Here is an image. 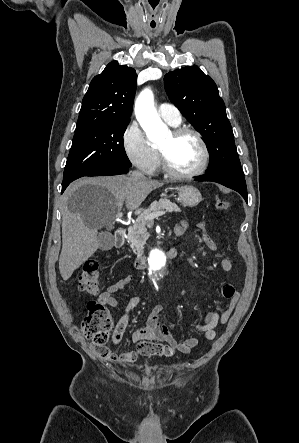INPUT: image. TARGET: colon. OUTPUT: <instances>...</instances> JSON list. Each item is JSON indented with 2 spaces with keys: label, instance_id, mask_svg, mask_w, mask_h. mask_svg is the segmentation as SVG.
Returning <instances> with one entry per match:
<instances>
[{
  "label": "colon",
  "instance_id": "1",
  "mask_svg": "<svg viewBox=\"0 0 299 443\" xmlns=\"http://www.w3.org/2000/svg\"><path fill=\"white\" fill-rule=\"evenodd\" d=\"M215 207L219 211H227L230 202L225 198H217ZM97 261L89 260L83 264L82 272L78 278L79 289L89 295H96L100 291L101 279ZM86 314L82 328L85 336L92 341L98 354L106 358L109 350L106 344L110 338L112 319L108 309L100 302L90 301L86 306Z\"/></svg>",
  "mask_w": 299,
  "mask_h": 443
}]
</instances>
